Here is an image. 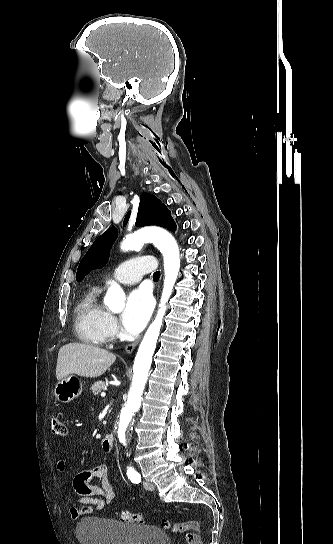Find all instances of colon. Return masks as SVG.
I'll use <instances>...</instances> for the list:
<instances>
[{
    "label": "colon",
    "mask_w": 333,
    "mask_h": 544,
    "mask_svg": "<svg viewBox=\"0 0 333 544\" xmlns=\"http://www.w3.org/2000/svg\"><path fill=\"white\" fill-rule=\"evenodd\" d=\"M51 431L54 435L59 437H65L67 435V428L65 423L57 417L51 420ZM120 520L129 523H142L143 515L140 513H133L127 510H121L117 513ZM162 526L167 529H172L174 532L185 535L186 544H202L200 537V524L196 521L187 522H175L164 520Z\"/></svg>",
    "instance_id": "obj_1"
}]
</instances>
